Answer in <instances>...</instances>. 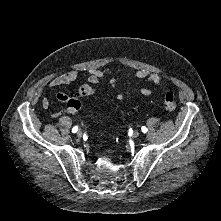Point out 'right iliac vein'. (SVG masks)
I'll return each instance as SVG.
<instances>
[{"mask_svg": "<svg viewBox=\"0 0 221 221\" xmlns=\"http://www.w3.org/2000/svg\"><path fill=\"white\" fill-rule=\"evenodd\" d=\"M82 135H83L82 131H81V130H78V131H77V137L81 138Z\"/></svg>", "mask_w": 221, "mask_h": 221, "instance_id": "obj_1", "label": "right iliac vein"}]
</instances>
